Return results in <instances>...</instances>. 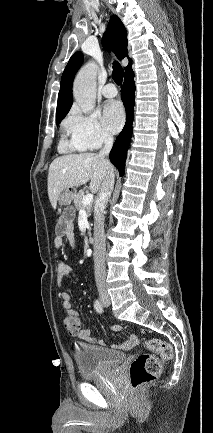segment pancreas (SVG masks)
<instances>
[{
    "label": "pancreas",
    "instance_id": "obj_1",
    "mask_svg": "<svg viewBox=\"0 0 213 433\" xmlns=\"http://www.w3.org/2000/svg\"><path fill=\"white\" fill-rule=\"evenodd\" d=\"M84 196H85L84 191L83 190L79 191L73 198L74 199V205L78 211H80L81 209H85L87 216L90 217L91 211H92V205L91 204L86 205V206L83 205L82 200H83Z\"/></svg>",
    "mask_w": 213,
    "mask_h": 433
}]
</instances>
